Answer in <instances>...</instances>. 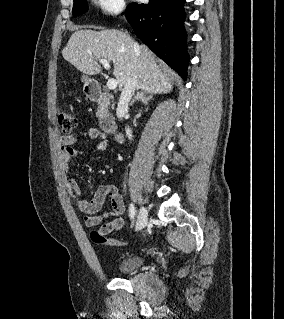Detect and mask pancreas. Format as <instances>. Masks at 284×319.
<instances>
[{
  "label": "pancreas",
  "mask_w": 284,
  "mask_h": 319,
  "mask_svg": "<svg viewBox=\"0 0 284 319\" xmlns=\"http://www.w3.org/2000/svg\"><path fill=\"white\" fill-rule=\"evenodd\" d=\"M102 109H101V107H99L98 109H97V113H96V115H97V117H101L102 116Z\"/></svg>",
  "instance_id": "obj_1"
}]
</instances>
